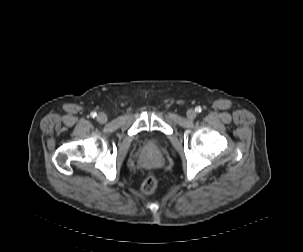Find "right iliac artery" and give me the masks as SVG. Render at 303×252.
<instances>
[{
  "instance_id": "82829eb1",
  "label": "right iliac artery",
  "mask_w": 303,
  "mask_h": 252,
  "mask_svg": "<svg viewBox=\"0 0 303 252\" xmlns=\"http://www.w3.org/2000/svg\"><path fill=\"white\" fill-rule=\"evenodd\" d=\"M96 112H91V116L94 118L96 116Z\"/></svg>"
}]
</instances>
